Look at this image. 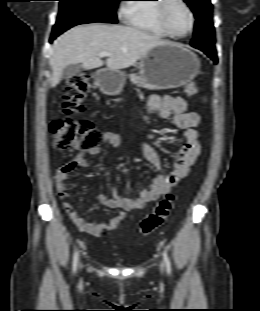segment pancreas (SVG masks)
Returning a JSON list of instances; mask_svg holds the SVG:
<instances>
[{"instance_id":"1","label":"pancreas","mask_w":260,"mask_h":311,"mask_svg":"<svg viewBox=\"0 0 260 311\" xmlns=\"http://www.w3.org/2000/svg\"><path fill=\"white\" fill-rule=\"evenodd\" d=\"M130 81L133 83V84H136L138 86H141L142 85V78L136 74H131L130 76Z\"/></svg>"}]
</instances>
